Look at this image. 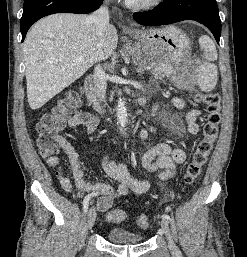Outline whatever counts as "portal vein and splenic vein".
I'll return each mask as SVG.
<instances>
[{
	"label": "portal vein and splenic vein",
	"instance_id": "18ae733b",
	"mask_svg": "<svg viewBox=\"0 0 247 257\" xmlns=\"http://www.w3.org/2000/svg\"><path fill=\"white\" fill-rule=\"evenodd\" d=\"M76 61H83V58L82 57H78V58H76Z\"/></svg>",
	"mask_w": 247,
	"mask_h": 257
}]
</instances>
